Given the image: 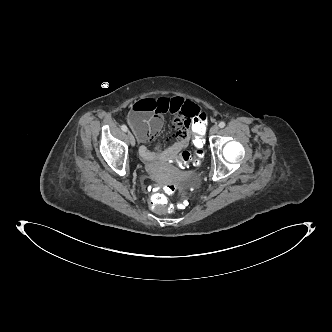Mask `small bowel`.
Here are the masks:
<instances>
[{"instance_id":"1","label":"small bowel","mask_w":332,"mask_h":332,"mask_svg":"<svg viewBox=\"0 0 332 332\" xmlns=\"http://www.w3.org/2000/svg\"><path fill=\"white\" fill-rule=\"evenodd\" d=\"M166 114L174 116L176 133L168 139V147L155 149L145 144L152 141L161 131ZM201 115L198 104L183 97H145L135 102L129 113V124L142 144L140 156L148 162L170 159L187 148L191 142L190 121ZM206 120V119H205Z\"/></svg>"}]
</instances>
